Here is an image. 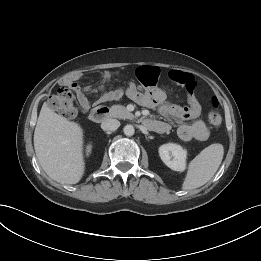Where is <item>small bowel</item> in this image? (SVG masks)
Wrapping results in <instances>:
<instances>
[{"label": "small bowel", "instance_id": "c3829d8e", "mask_svg": "<svg viewBox=\"0 0 261 261\" xmlns=\"http://www.w3.org/2000/svg\"><path fill=\"white\" fill-rule=\"evenodd\" d=\"M159 69L154 66H143L137 69V77L145 86L155 85L159 77ZM111 77L110 72H105L102 84L98 89L91 87H81L77 83L78 76L63 81V84L75 91L80 108L83 111L90 109V101L87 94L91 92H100L98 102H111L128 97L137 103L149 107L157 108L159 113L168 121L177 125V133L183 141H203L209 137V129L205 121L200 118L201 105L195 95L196 82L192 74L172 70L169 72V78L185 87L187 91L188 106H180L170 103L166 100L165 94L159 89L142 90L136 83H130L126 88L105 89ZM159 124L155 131L164 133L169 130V124L163 121H156Z\"/></svg>", "mask_w": 261, "mask_h": 261}]
</instances>
